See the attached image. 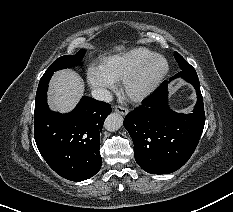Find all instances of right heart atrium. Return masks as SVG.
<instances>
[{"instance_id": "obj_1", "label": "right heart atrium", "mask_w": 233, "mask_h": 212, "mask_svg": "<svg viewBox=\"0 0 233 212\" xmlns=\"http://www.w3.org/2000/svg\"><path fill=\"white\" fill-rule=\"evenodd\" d=\"M87 81L102 96L116 87V81L108 75L102 66H90L87 71Z\"/></svg>"}]
</instances>
